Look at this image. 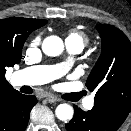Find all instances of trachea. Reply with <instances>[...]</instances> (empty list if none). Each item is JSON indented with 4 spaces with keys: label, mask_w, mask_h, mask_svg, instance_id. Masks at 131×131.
<instances>
[{
    "label": "trachea",
    "mask_w": 131,
    "mask_h": 131,
    "mask_svg": "<svg viewBox=\"0 0 131 131\" xmlns=\"http://www.w3.org/2000/svg\"><path fill=\"white\" fill-rule=\"evenodd\" d=\"M83 95H85V93H83V92L80 93L79 96H78V98L82 97Z\"/></svg>",
    "instance_id": "3493384b"
}]
</instances>
